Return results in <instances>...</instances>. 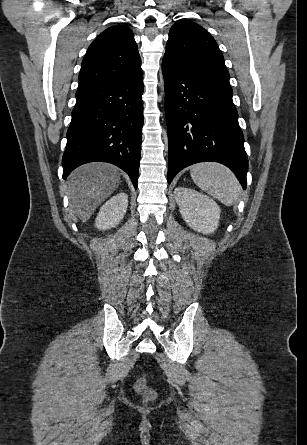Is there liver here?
<instances>
[{
	"mask_svg": "<svg viewBox=\"0 0 307 445\" xmlns=\"http://www.w3.org/2000/svg\"><path fill=\"white\" fill-rule=\"evenodd\" d=\"M119 176V168L108 162H88L71 172L67 178V194L81 223H87L95 208L118 188Z\"/></svg>",
	"mask_w": 307,
	"mask_h": 445,
	"instance_id": "liver-1",
	"label": "liver"
}]
</instances>
